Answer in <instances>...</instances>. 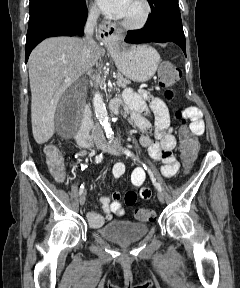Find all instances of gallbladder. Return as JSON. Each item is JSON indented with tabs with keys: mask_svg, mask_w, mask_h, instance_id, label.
I'll return each mask as SVG.
<instances>
[{
	"mask_svg": "<svg viewBox=\"0 0 240 288\" xmlns=\"http://www.w3.org/2000/svg\"><path fill=\"white\" fill-rule=\"evenodd\" d=\"M77 109L78 105L73 100L70 92H66L58 103L55 118L57 121L66 120L73 116L77 112Z\"/></svg>",
	"mask_w": 240,
	"mask_h": 288,
	"instance_id": "obj_1",
	"label": "gallbladder"
}]
</instances>
